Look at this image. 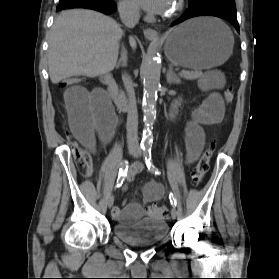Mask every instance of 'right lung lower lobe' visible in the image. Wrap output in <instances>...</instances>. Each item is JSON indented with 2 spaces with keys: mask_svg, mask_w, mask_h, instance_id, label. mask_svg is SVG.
Segmentation results:
<instances>
[{
  "mask_svg": "<svg viewBox=\"0 0 279 279\" xmlns=\"http://www.w3.org/2000/svg\"><path fill=\"white\" fill-rule=\"evenodd\" d=\"M71 8L93 9L109 15L116 11V4L111 0H60L57 11Z\"/></svg>",
  "mask_w": 279,
  "mask_h": 279,
  "instance_id": "right-lung-lower-lobe-1",
  "label": "right lung lower lobe"
}]
</instances>
